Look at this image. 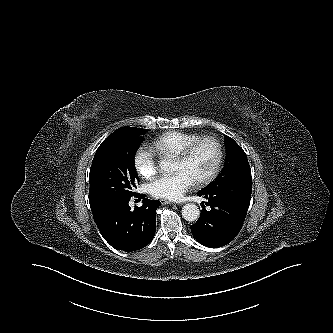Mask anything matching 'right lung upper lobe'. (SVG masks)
Segmentation results:
<instances>
[{
    "mask_svg": "<svg viewBox=\"0 0 333 333\" xmlns=\"http://www.w3.org/2000/svg\"><path fill=\"white\" fill-rule=\"evenodd\" d=\"M125 128H127V127H121V128H119V129H117L116 131H114V132H113L111 135H109V136L115 135V134H117L118 132L123 131ZM91 209H93V208H91Z\"/></svg>",
    "mask_w": 333,
    "mask_h": 333,
    "instance_id": "right-lung-upper-lobe-1",
    "label": "right lung upper lobe"
}]
</instances>
